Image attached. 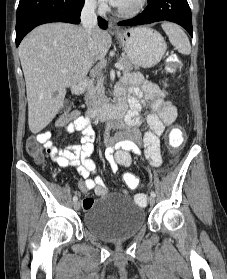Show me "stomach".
Returning <instances> with one entry per match:
<instances>
[{"label": "stomach", "mask_w": 227, "mask_h": 279, "mask_svg": "<svg viewBox=\"0 0 227 279\" xmlns=\"http://www.w3.org/2000/svg\"><path fill=\"white\" fill-rule=\"evenodd\" d=\"M127 59L134 65L150 68L163 58L167 45L157 31L148 27H136L116 33Z\"/></svg>", "instance_id": "obj_1"}]
</instances>
